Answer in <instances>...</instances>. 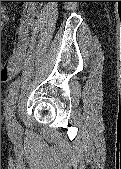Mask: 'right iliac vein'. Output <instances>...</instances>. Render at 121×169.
<instances>
[{
  "mask_svg": "<svg viewBox=\"0 0 121 169\" xmlns=\"http://www.w3.org/2000/svg\"><path fill=\"white\" fill-rule=\"evenodd\" d=\"M14 126H15V122H14V124L11 127H14Z\"/></svg>",
  "mask_w": 121,
  "mask_h": 169,
  "instance_id": "1",
  "label": "right iliac vein"
}]
</instances>
